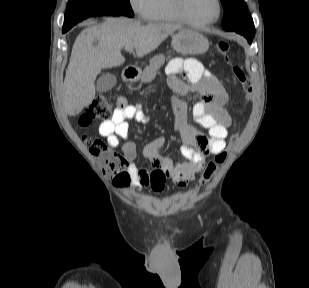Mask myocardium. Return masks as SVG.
Here are the masks:
<instances>
[{
	"instance_id": "f54148a6",
	"label": "myocardium",
	"mask_w": 309,
	"mask_h": 288,
	"mask_svg": "<svg viewBox=\"0 0 309 288\" xmlns=\"http://www.w3.org/2000/svg\"><path fill=\"white\" fill-rule=\"evenodd\" d=\"M216 4H217L216 15L212 19L198 22V21L192 20L186 14V11H185V0H173L174 9H175V12H176L177 16L179 17V19L183 23H185V24H187V25H189L191 27H194V28H203V27L212 25V24L216 23L220 19L221 15H222V11H223L221 0H216Z\"/></svg>"
}]
</instances>
